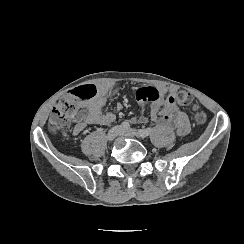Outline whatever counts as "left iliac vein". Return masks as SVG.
Returning <instances> with one entry per match:
<instances>
[{
	"instance_id": "4c4485c4",
	"label": "left iliac vein",
	"mask_w": 244,
	"mask_h": 244,
	"mask_svg": "<svg viewBox=\"0 0 244 244\" xmlns=\"http://www.w3.org/2000/svg\"><path fill=\"white\" fill-rule=\"evenodd\" d=\"M120 135L124 137H135L137 135V131L133 128L122 129Z\"/></svg>"
}]
</instances>
